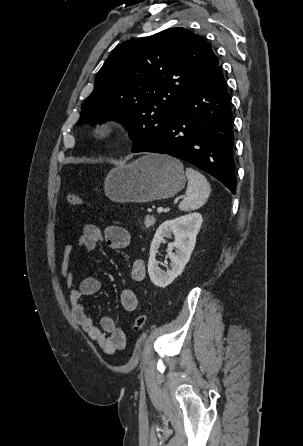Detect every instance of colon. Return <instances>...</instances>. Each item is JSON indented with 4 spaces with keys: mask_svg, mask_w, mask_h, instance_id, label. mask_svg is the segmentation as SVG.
Returning a JSON list of instances; mask_svg holds the SVG:
<instances>
[{
    "mask_svg": "<svg viewBox=\"0 0 303 446\" xmlns=\"http://www.w3.org/2000/svg\"><path fill=\"white\" fill-rule=\"evenodd\" d=\"M67 202L69 205L71 206H75V207H81V206H86V207H90L89 204H87L77 193H69L67 195ZM146 315L144 314H140L138 315L135 320L133 321L132 327L133 330L136 332H139L143 329V327L146 324Z\"/></svg>",
    "mask_w": 303,
    "mask_h": 446,
    "instance_id": "obj_1",
    "label": "colon"
}]
</instances>
